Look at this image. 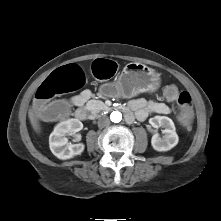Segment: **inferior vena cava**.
<instances>
[{
	"instance_id": "obj_1",
	"label": "inferior vena cava",
	"mask_w": 221,
	"mask_h": 221,
	"mask_svg": "<svg viewBox=\"0 0 221 221\" xmlns=\"http://www.w3.org/2000/svg\"><path fill=\"white\" fill-rule=\"evenodd\" d=\"M110 125V120L106 116H102L98 119V126L99 127H106Z\"/></svg>"
}]
</instances>
